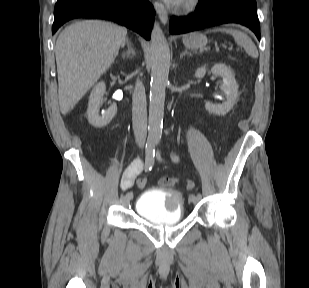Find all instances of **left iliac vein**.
<instances>
[{
  "label": "left iliac vein",
  "mask_w": 309,
  "mask_h": 288,
  "mask_svg": "<svg viewBox=\"0 0 309 288\" xmlns=\"http://www.w3.org/2000/svg\"><path fill=\"white\" fill-rule=\"evenodd\" d=\"M189 201L192 202V203H197L199 201V198H197V197L193 198L192 196H190Z\"/></svg>",
  "instance_id": "1"
}]
</instances>
